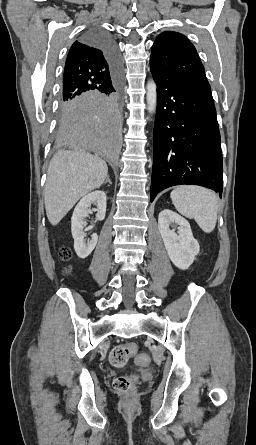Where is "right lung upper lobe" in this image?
Returning <instances> with one entry per match:
<instances>
[{"label":"right lung upper lobe","mask_w":256,"mask_h":445,"mask_svg":"<svg viewBox=\"0 0 256 445\" xmlns=\"http://www.w3.org/2000/svg\"><path fill=\"white\" fill-rule=\"evenodd\" d=\"M114 73L104 52L83 38L67 55L61 99L70 100L109 88Z\"/></svg>","instance_id":"cb5924a9"}]
</instances>
